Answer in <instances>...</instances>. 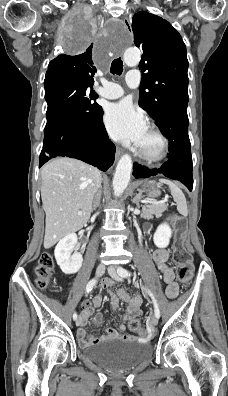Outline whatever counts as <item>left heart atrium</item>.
<instances>
[{"instance_id": "left-heart-atrium-1", "label": "left heart atrium", "mask_w": 228, "mask_h": 396, "mask_svg": "<svg viewBox=\"0 0 228 396\" xmlns=\"http://www.w3.org/2000/svg\"><path fill=\"white\" fill-rule=\"evenodd\" d=\"M104 122L111 137L137 146L147 131L144 115L128 100L109 105L104 115Z\"/></svg>"}]
</instances>
